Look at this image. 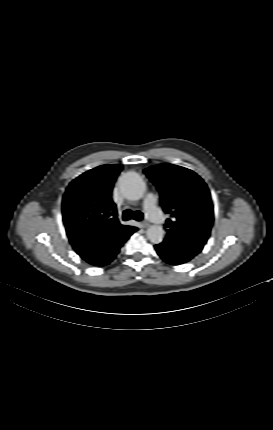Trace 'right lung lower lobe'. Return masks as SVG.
<instances>
[{"label":"right lung lower lobe","instance_id":"obj_1","mask_svg":"<svg viewBox=\"0 0 273 430\" xmlns=\"http://www.w3.org/2000/svg\"><path fill=\"white\" fill-rule=\"evenodd\" d=\"M125 242V241H124ZM122 241H118V242H108V243H104L102 245V252L100 253V255L95 258L92 259L91 261H87L90 264L93 265H97V266H105L107 264H109L117 255V253L119 252V249L121 247V245L124 243Z\"/></svg>","mask_w":273,"mask_h":430}]
</instances>
